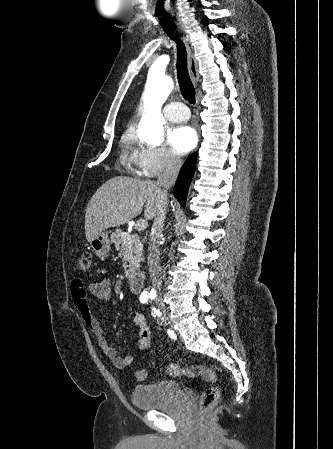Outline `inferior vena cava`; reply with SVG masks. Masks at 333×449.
Segmentation results:
<instances>
[{"label": "inferior vena cava", "instance_id": "obj_1", "mask_svg": "<svg viewBox=\"0 0 333 449\" xmlns=\"http://www.w3.org/2000/svg\"><path fill=\"white\" fill-rule=\"evenodd\" d=\"M182 166V160L176 155H170L168 163L163 173L158 177L157 183L163 188L164 196H167V190L175 183L179 170ZM167 200L159 206L150 234V242L148 246V271L154 288L161 290L162 272L160 265V241L162 237L163 224L166 214Z\"/></svg>", "mask_w": 333, "mask_h": 449}]
</instances>
